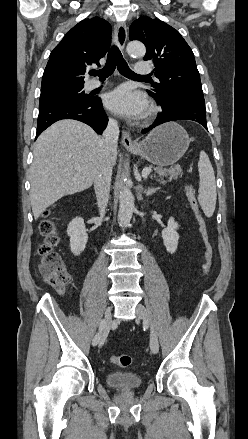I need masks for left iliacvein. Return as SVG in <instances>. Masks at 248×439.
Instances as JSON below:
<instances>
[{"instance_id":"obj_1","label":"left iliac vein","mask_w":248,"mask_h":439,"mask_svg":"<svg viewBox=\"0 0 248 439\" xmlns=\"http://www.w3.org/2000/svg\"><path fill=\"white\" fill-rule=\"evenodd\" d=\"M136 313L137 316L147 325L150 327V349L152 353L156 354L159 351V341L157 337V333L154 329V327L151 325V319L149 317V314L146 310V308L138 304L136 307Z\"/></svg>"}]
</instances>
